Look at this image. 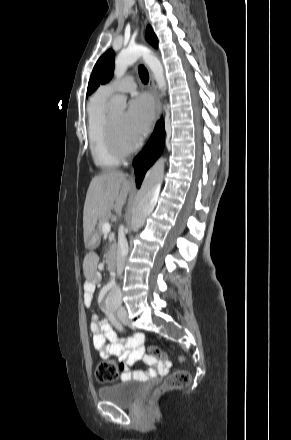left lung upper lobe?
I'll return each mask as SVG.
<instances>
[{
    "instance_id": "obj_1",
    "label": "left lung upper lobe",
    "mask_w": 291,
    "mask_h": 440,
    "mask_svg": "<svg viewBox=\"0 0 291 440\" xmlns=\"http://www.w3.org/2000/svg\"><path fill=\"white\" fill-rule=\"evenodd\" d=\"M146 40L154 47H158L157 37L154 34L152 28L147 26L146 29ZM114 69V52L109 49L105 52L97 61L92 71L87 95H90L95 89H97L101 84L109 82L113 76Z\"/></svg>"
}]
</instances>
